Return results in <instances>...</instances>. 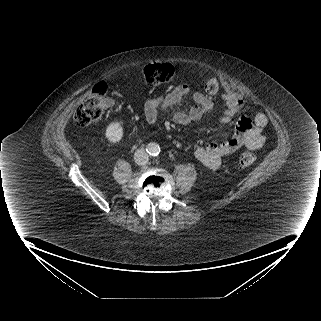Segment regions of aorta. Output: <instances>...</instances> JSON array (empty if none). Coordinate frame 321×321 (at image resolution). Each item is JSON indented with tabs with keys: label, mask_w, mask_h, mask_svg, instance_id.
Segmentation results:
<instances>
[{
	"label": "aorta",
	"mask_w": 321,
	"mask_h": 321,
	"mask_svg": "<svg viewBox=\"0 0 321 321\" xmlns=\"http://www.w3.org/2000/svg\"><path fill=\"white\" fill-rule=\"evenodd\" d=\"M147 152L150 155H158L160 152V147L157 143H150L147 146Z\"/></svg>",
	"instance_id": "762f6f07"
}]
</instances>
